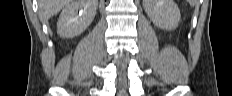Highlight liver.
<instances>
[{
	"instance_id": "obj_1",
	"label": "liver",
	"mask_w": 232,
	"mask_h": 96,
	"mask_svg": "<svg viewBox=\"0 0 232 96\" xmlns=\"http://www.w3.org/2000/svg\"><path fill=\"white\" fill-rule=\"evenodd\" d=\"M71 0H39V16L43 21L57 14Z\"/></svg>"
}]
</instances>
